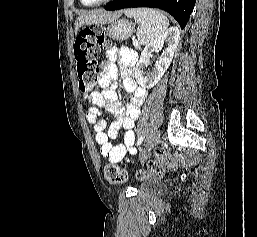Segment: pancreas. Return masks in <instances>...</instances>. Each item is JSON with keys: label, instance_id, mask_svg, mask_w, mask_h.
<instances>
[{"label": "pancreas", "instance_id": "obj_1", "mask_svg": "<svg viewBox=\"0 0 257 237\" xmlns=\"http://www.w3.org/2000/svg\"><path fill=\"white\" fill-rule=\"evenodd\" d=\"M136 48H137V49H140V46L138 45V46H136Z\"/></svg>", "mask_w": 257, "mask_h": 237}]
</instances>
